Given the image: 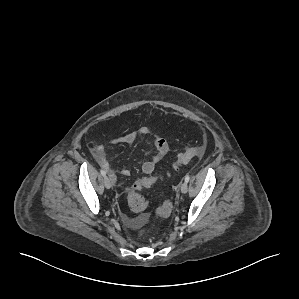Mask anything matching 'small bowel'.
<instances>
[{
	"label": "small bowel",
	"mask_w": 299,
	"mask_h": 299,
	"mask_svg": "<svg viewBox=\"0 0 299 299\" xmlns=\"http://www.w3.org/2000/svg\"><path fill=\"white\" fill-rule=\"evenodd\" d=\"M150 134V129L147 127H140L137 130L129 132L125 135L114 137L111 139L112 144H130L133 143L138 138L144 137ZM168 152V144L162 138H157L155 140V153L151 156V158L145 162H143L141 169L145 174H151L156 165L163 159V157ZM94 157L97 163L104 168L110 175L113 182L117 180L116 171L110 166L105 149L103 146H97L94 150ZM121 173L125 176L130 175V171L128 169L121 170Z\"/></svg>",
	"instance_id": "obj_1"
}]
</instances>
